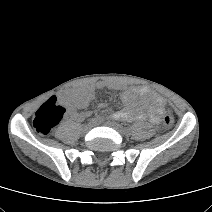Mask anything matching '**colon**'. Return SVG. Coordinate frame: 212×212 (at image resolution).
I'll use <instances>...</instances> for the list:
<instances>
[{
    "mask_svg": "<svg viewBox=\"0 0 212 212\" xmlns=\"http://www.w3.org/2000/svg\"><path fill=\"white\" fill-rule=\"evenodd\" d=\"M65 108L58 102L55 96L45 101L35 112L33 117L34 129L42 135L49 134L62 120ZM166 127L174 124V118L166 115L163 119Z\"/></svg>",
    "mask_w": 212,
    "mask_h": 212,
    "instance_id": "colon-1",
    "label": "colon"
}]
</instances>
